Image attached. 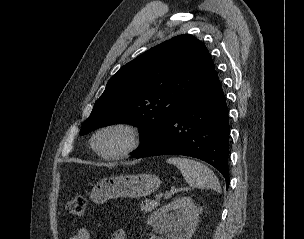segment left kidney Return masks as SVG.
Returning a JSON list of instances; mask_svg holds the SVG:
<instances>
[{"label":"left kidney","instance_id":"5707ae66","mask_svg":"<svg viewBox=\"0 0 304 239\" xmlns=\"http://www.w3.org/2000/svg\"><path fill=\"white\" fill-rule=\"evenodd\" d=\"M200 209L190 197H181L156 210L148 219L160 233H167L168 239H191Z\"/></svg>","mask_w":304,"mask_h":239}]
</instances>
